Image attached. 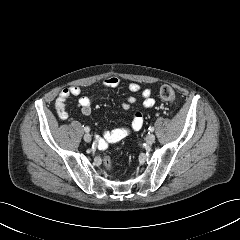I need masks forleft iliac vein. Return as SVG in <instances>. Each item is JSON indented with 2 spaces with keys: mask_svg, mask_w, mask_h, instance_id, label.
<instances>
[{
  "mask_svg": "<svg viewBox=\"0 0 240 240\" xmlns=\"http://www.w3.org/2000/svg\"><path fill=\"white\" fill-rule=\"evenodd\" d=\"M147 144H152L155 141V136L153 134H148L145 138Z\"/></svg>",
  "mask_w": 240,
  "mask_h": 240,
  "instance_id": "obj_1",
  "label": "left iliac vein"
}]
</instances>
